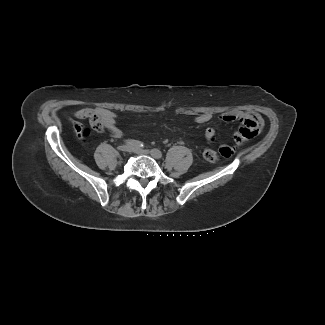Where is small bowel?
<instances>
[{"label":"small bowel","instance_id":"small-bowel-1","mask_svg":"<svg viewBox=\"0 0 325 325\" xmlns=\"http://www.w3.org/2000/svg\"><path fill=\"white\" fill-rule=\"evenodd\" d=\"M75 117L78 120H87L89 123V127H84L80 123L75 122V131L81 138L88 136L92 130L96 132L108 131L114 138H121L123 136L122 131L117 125L116 114L110 109L104 107H85L79 109L75 113ZM211 118L210 113L203 112L195 117V122L206 124ZM220 118L225 123L238 124V127L232 133L234 146L225 144L220 146V154L225 158L231 157L239 147L253 139L259 133L262 126L260 118L255 113L249 111L226 112ZM204 136L208 144H214L217 139L213 128L206 129Z\"/></svg>","mask_w":325,"mask_h":325}]
</instances>
